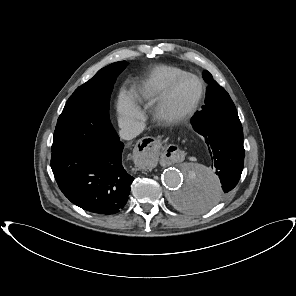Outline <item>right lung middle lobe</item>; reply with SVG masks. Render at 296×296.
Here are the masks:
<instances>
[{"label": "right lung middle lobe", "mask_w": 296, "mask_h": 296, "mask_svg": "<svg viewBox=\"0 0 296 296\" xmlns=\"http://www.w3.org/2000/svg\"><path fill=\"white\" fill-rule=\"evenodd\" d=\"M126 66V61L112 63L74 91L58 118L52 152L75 149L112 137L110 95L117 76Z\"/></svg>", "instance_id": "1"}]
</instances>
